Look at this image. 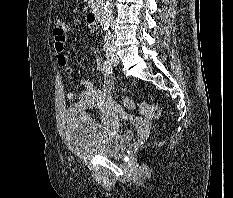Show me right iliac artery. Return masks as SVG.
Returning a JSON list of instances; mask_svg holds the SVG:
<instances>
[{
	"label": "right iliac artery",
	"instance_id": "1",
	"mask_svg": "<svg viewBox=\"0 0 233 198\" xmlns=\"http://www.w3.org/2000/svg\"><path fill=\"white\" fill-rule=\"evenodd\" d=\"M104 68H105V71L108 73V74H111L113 72V66H112V62L110 60H106L104 62Z\"/></svg>",
	"mask_w": 233,
	"mask_h": 198
}]
</instances>
